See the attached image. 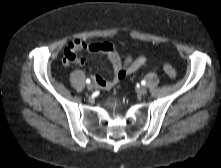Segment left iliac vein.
I'll use <instances>...</instances> for the list:
<instances>
[{
	"label": "left iliac vein",
	"instance_id": "4c4485c4",
	"mask_svg": "<svg viewBox=\"0 0 221 168\" xmlns=\"http://www.w3.org/2000/svg\"><path fill=\"white\" fill-rule=\"evenodd\" d=\"M138 94L141 95V96H144L147 94V88L146 87H141L138 89Z\"/></svg>",
	"mask_w": 221,
	"mask_h": 168
}]
</instances>
